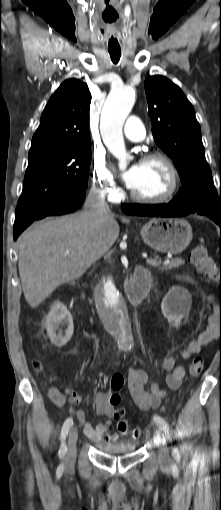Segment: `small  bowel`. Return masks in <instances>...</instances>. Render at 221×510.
Listing matches in <instances>:
<instances>
[{"label":"small bowel","instance_id":"1","mask_svg":"<svg viewBox=\"0 0 221 510\" xmlns=\"http://www.w3.org/2000/svg\"><path fill=\"white\" fill-rule=\"evenodd\" d=\"M207 299L212 305L213 313L208 318V324L205 330L197 338L190 341L187 347L181 352V357L184 360L198 354L209 342L215 339L221 331V313L219 312L214 296L207 294ZM163 368L168 372L165 379L166 388L153 382L145 371L129 368L127 372V389L133 402L141 410L157 408L162 399L170 391L177 390L180 387L186 374L185 366L178 363L174 355L167 354L163 360ZM69 394L76 393L69 391ZM111 397L112 394L108 392L99 391L95 393L94 405L98 415L105 416L108 419L114 418L117 409L116 405L111 402ZM75 415L78 421L84 424V432L92 441L97 443L111 442L118 437L117 433L109 432L111 426L110 420L93 425L87 422L86 413L83 410H78ZM118 430L122 433L127 431ZM108 434H110L111 437L106 441L104 437Z\"/></svg>","mask_w":221,"mask_h":510}]
</instances>
